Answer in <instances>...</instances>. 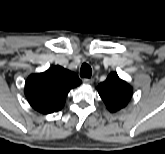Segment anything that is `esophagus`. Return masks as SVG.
<instances>
[{"mask_svg": "<svg viewBox=\"0 0 165 154\" xmlns=\"http://www.w3.org/2000/svg\"><path fill=\"white\" fill-rule=\"evenodd\" d=\"M84 84L91 85L93 83V79L90 78H84L83 79Z\"/></svg>", "mask_w": 165, "mask_h": 154, "instance_id": "obj_1", "label": "esophagus"}]
</instances>
